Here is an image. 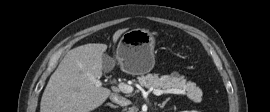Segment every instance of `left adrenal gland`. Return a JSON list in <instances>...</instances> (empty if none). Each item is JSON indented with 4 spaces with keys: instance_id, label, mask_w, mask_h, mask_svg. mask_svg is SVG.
Wrapping results in <instances>:
<instances>
[{
    "instance_id": "obj_1",
    "label": "left adrenal gland",
    "mask_w": 270,
    "mask_h": 112,
    "mask_svg": "<svg viewBox=\"0 0 270 112\" xmlns=\"http://www.w3.org/2000/svg\"><path fill=\"white\" fill-rule=\"evenodd\" d=\"M169 101V99H166L162 104H160V108H164V106L167 104V102Z\"/></svg>"
}]
</instances>
